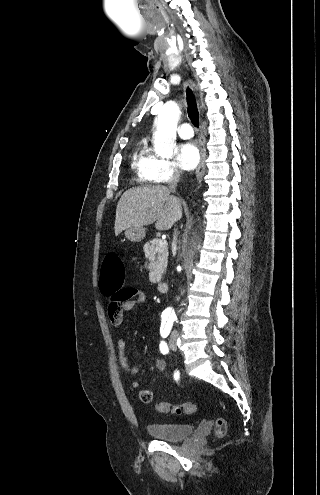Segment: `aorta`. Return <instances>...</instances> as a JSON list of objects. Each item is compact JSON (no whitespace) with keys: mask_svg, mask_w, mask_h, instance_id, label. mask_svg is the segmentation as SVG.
<instances>
[{"mask_svg":"<svg viewBox=\"0 0 320 495\" xmlns=\"http://www.w3.org/2000/svg\"><path fill=\"white\" fill-rule=\"evenodd\" d=\"M181 111L174 101H168L161 107L154 120V149L161 157H171L175 148L176 130ZM189 238V240H191Z\"/></svg>","mask_w":320,"mask_h":495,"instance_id":"762f6f07","label":"aorta"}]
</instances>
